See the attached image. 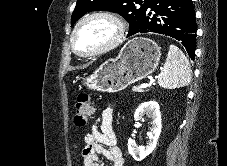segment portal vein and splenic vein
<instances>
[{
  "label": "portal vein and splenic vein",
  "instance_id": "obj_1",
  "mask_svg": "<svg viewBox=\"0 0 227 166\" xmlns=\"http://www.w3.org/2000/svg\"><path fill=\"white\" fill-rule=\"evenodd\" d=\"M148 85H149L148 83H143V84H141L140 88L141 89L146 88V87H148Z\"/></svg>",
  "mask_w": 227,
  "mask_h": 166
}]
</instances>
